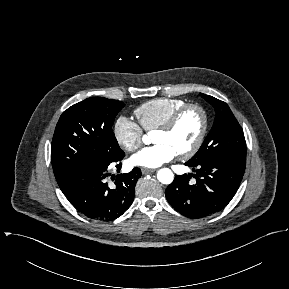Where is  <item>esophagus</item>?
Returning a JSON list of instances; mask_svg holds the SVG:
<instances>
[{
    "instance_id": "esophagus-1",
    "label": "esophagus",
    "mask_w": 289,
    "mask_h": 289,
    "mask_svg": "<svg viewBox=\"0 0 289 289\" xmlns=\"http://www.w3.org/2000/svg\"><path fill=\"white\" fill-rule=\"evenodd\" d=\"M155 171H156L155 169H150V168H145V167L141 168L142 174L153 173Z\"/></svg>"
}]
</instances>
